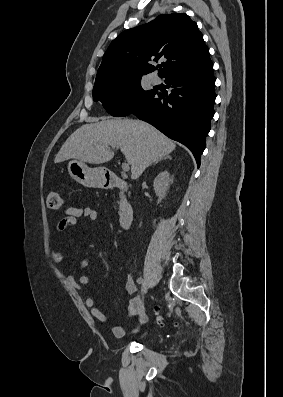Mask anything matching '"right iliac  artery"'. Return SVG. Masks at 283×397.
Returning <instances> with one entry per match:
<instances>
[{"instance_id":"right-iliac-artery-1","label":"right iliac artery","mask_w":283,"mask_h":397,"mask_svg":"<svg viewBox=\"0 0 283 397\" xmlns=\"http://www.w3.org/2000/svg\"><path fill=\"white\" fill-rule=\"evenodd\" d=\"M137 282H138L139 284H141V283H143V279H142V278H138Z\"/></svg>"}]
</instances>
